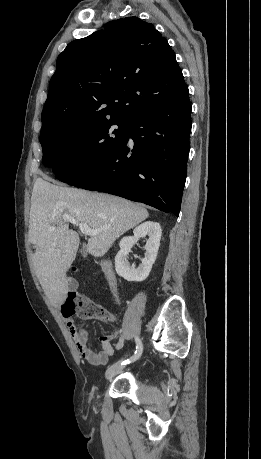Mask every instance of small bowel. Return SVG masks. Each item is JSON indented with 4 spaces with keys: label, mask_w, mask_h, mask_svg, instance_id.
<instances>
[{
    "label": "small bowel",
    "mask_w": 261,
    "mask_h": 459,
    "mask_svg": "<svg viewBox=\"0 0 261 459\" xmlns=\"http://www.w3.org/2000/svg\"><path fill=\"white\" fill-rule=\"evenodd\" d=\"M100 265L109 279V284L115 301L118 305L121 304V298L117 285L116 278L113 274L111 266L105 260H100ZM72 288L76 287L74 281H70ZM67 328L71 337L73 338L80 355L92 366H102L109 362L110 358L114 355L115 350H120L124 345V336L121 332H113L103 335L99 338L100 349L94 351L88 343V334L83 326L76 323L74 320L69 319ZM117 339L115 347L112 346L111 341Z\"/></svg>",
    "instance_id": "c3829d8e"
}]
</instances>
